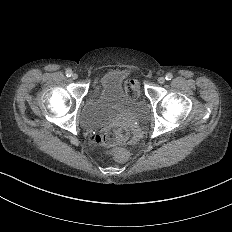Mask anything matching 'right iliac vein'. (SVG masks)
<instances>
[{
  "mask_svg": "<svg viewBox=\"0 0 232 232\" xmlns=\"http://www.w3.org/2000/svg\"><path fill=\"white\" fill-rule=\"evenodd\" d=\"M72 78H73V79H77V78H78V75H77V74H73V75H72Z\"/></svg>",
  "mask_w": 232,
  "mask_h": 232,
  "instance_id": "63e3f726",
  "label": "right iliac vein"
}]
</instances>
